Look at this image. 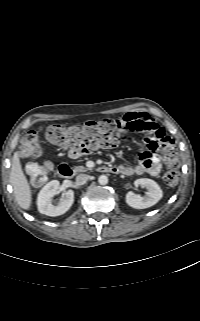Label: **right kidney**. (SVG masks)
<instances>
[{
	"instance_id": "1",
	"label": "right kidney",
	"mask_w": 200,
	"mask_h": 321,
	"mask_svg": "<svg viewBox=\"0 0 200 321\" xmlns=\"http://www.w3.org/2000/svg\"><path fill=\"white\" fill-rule=\"evenodd\" d=\"M60 183L57 180H52L47 183L39 192L37 198L38 211L47 216H60L66 213L74 202L73 190H68L64 193V197L58 205L52 204V197L59 193Z\"/></svg>"
}]
</instances>
